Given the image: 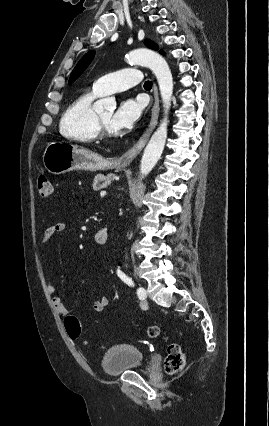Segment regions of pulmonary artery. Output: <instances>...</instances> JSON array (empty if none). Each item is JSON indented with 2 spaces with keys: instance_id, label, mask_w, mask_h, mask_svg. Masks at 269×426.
Segmentation results:
<instances>
[{
  "instance_id": "e3ab8cb5",
  "label": "pulmonary artery",
  "mask_w": 269,
  "mask_h": 426,
  "mask_svg": "<svg viewBox=\"0 0 269 426\" xmlns=\"http://www.w3.org/2000/svg\"><path fill=\"white\" fill-rule=\"evenodd\" d=\"M142 78L140 69L126 68L102 76L94 82L92 89L98 95L120 92L138 84Z\"/></svg>"
}]
</instances>
